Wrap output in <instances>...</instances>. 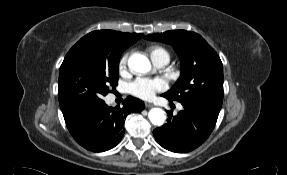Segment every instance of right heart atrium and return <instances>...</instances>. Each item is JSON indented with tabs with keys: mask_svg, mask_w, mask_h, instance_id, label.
<instances>
[{
	"mask_svg": "<svg viewBox=\"0 0 287 175\" xmlns=\"http://www.w3.org/2000/svg\"><path fill=\"white\" fill-rule=\"evenodd\" d=\"M128 53L124 54L119 60V70L122 72L127 67Z\"/></svg>",
	"mask_w": 287,
	"mask_h": 175,
	"instance_id": "obj_1",
	"label": "right heart atrium"
}]
</instances>
